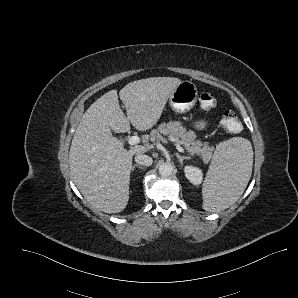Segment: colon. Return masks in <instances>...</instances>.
<instances>
[{
	"label": "colon",
	"mask_w": 298,
	"mask_h": 298,
	"mask_svg": "<svg viewBox=\"0 0 298 298\" xmlns=\"http://www.w3.org/2000/svg\"><path fill=\"white\" fill-rule=\"evenodd\" d=\"M200 106L203 110L212 109L215 104V98L207 92H204L199 97ZM221 126L225 131L231 134H238L242 130V125L237 115L232 110H227L223 113L221 118Z\"/></svg>",
	"instance_id": "5ec220e1"
}]
</instances>
